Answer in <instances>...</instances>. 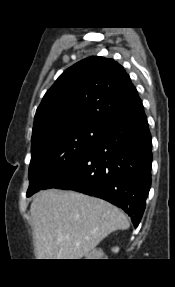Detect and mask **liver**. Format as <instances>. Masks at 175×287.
<instances>
[{
  "instance_id": "6515ba94",
  "label": "liver",
  "mask_w": 175,
  "mask_h": 287,
  "mask_svg": "<svg viewBox=\"0 0 175 287\" xmlns=\"http://www.w3.org/2000/svg\"><path fill=\"white\" fill-rule=\"evenodd\" d=\"M30 213L38 259H81L111 232L129 228L120 209L74 191H40Z\"/></svg>"
}]
</instances>
